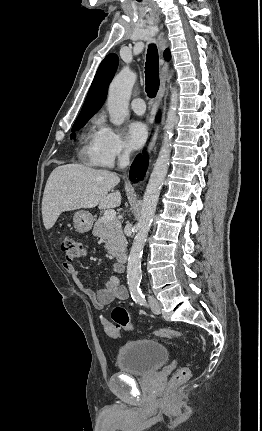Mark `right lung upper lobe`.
I'll list each match as a JSON object with an SVG mask.
<instances>
[{"instance_id":"obj_1","label":"right lung upper lobe","mask_w":262,"mask_h":431,"mask_svg":"<svg viewBox=\"0 0 262 431\" xmlns=\"http://www.w3.org/2000/svg\"><path fill=\"white\" fill-rule=\"evenodd\" d=\"M164 57L166 60L170 59L171 55L168 49L165 51ZM117 66L118 57L115 54L107 55L101 62L78 118H91L101 108L106 98L108 85L116 72Z\"/></svg>"}]
</instances>
